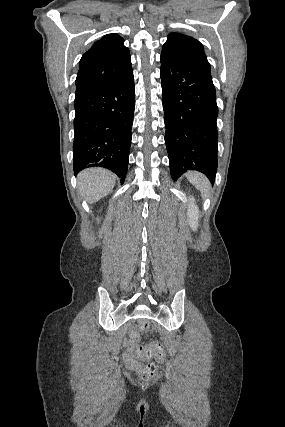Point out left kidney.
I'll use <instances>...</instances> for the list:
<instances>
[{
    "instance_id": "obj_1",
    "label": "left kidney",
    "mask_w": 285,
    "mask_h": 427,
    "mask_svg": "<svg viewBox=\"0 0 285 427\" xmlns=\"http://www.w3.org/2000/svg\"><path fill=\"white\" fill-rule=\"evenodd\" d=\"M195 199L192 197L190 199L189 205H188V218H189V224L193 230H197L198 227V218H199V210L198 207L194 204Z\"/></svg>"
}]
</instances>
